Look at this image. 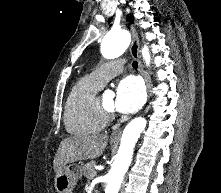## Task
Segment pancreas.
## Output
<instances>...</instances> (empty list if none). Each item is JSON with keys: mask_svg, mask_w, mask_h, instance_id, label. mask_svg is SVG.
Here are the masks:
<instances>
[{"mask_svg": "<svg viewBox=\"0 0 221 193\" xmlns=\"http://www.w3.org/2000/svg\"><path fill=\"white\" fill-rule=\"evenodd\" d=\"M94 166H95V162L90 161V162L86 163L82 168L83 174L88 180H91L94 177L93 176V172L95 171Z\"/></svg>", "mask_w": 221, "mask_h": 193, "instance_id": "1", "label": "pancreas"}]
</instances>
